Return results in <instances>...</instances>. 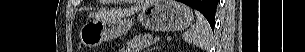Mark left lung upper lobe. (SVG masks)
<instances>
[{
  "label": "left lung upper lobe",
  "mask_w": 305,
  "mask_h": 52,
  "mask_svg": "<svg viewBox=\"0 0 305 52\" xmlns=\"http://www.w3.org/2000/svg\"><path fill=\"white\" fill-rule=\"evenodd\" d=\"M215 12H216V9L214 11L210 10V11L204 12V16L206 17V19L208 20L210 25H215Z\"/></svg>",
  "instance_id": "obj_1"
}]
</instances>
